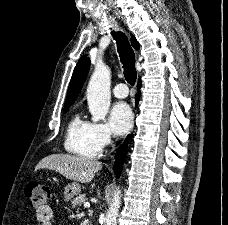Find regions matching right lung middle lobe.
Returning a JSON list of instances; mask_svg holds the SVG:
<instances>
[{"label": "right lung middle lobe", "instance_id": "1", "mask_svg": "<svg viewBox=\"0 0 228 225\" xmlns=\"http://www.w3.org/2000/svg\"><path fill=\"white\" fill-rule=\"evenodd\" d=\"M69 107H70V105L65 106V107H64V112H67V110L69 109Z\"/></svg>", "mask_w": 228, "mask_h": 225}]
</instances>
